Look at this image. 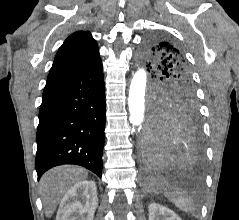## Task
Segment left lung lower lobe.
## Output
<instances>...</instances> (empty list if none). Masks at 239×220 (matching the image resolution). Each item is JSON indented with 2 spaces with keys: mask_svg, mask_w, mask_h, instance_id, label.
<instances>
[{
  "mask_svg": "<svg viewBox=\"0 0 239 220\" xmlns=\"http://www.w3.org/2000/svg\"><path fill=\"white\" fill-rule=\"evenodd\" d=\"M142 153L152 172L166 165L199 162L203 143L197 112L176 113L152 107Z\"/></svg>",
  "mask_w": 239,
  "mask_h": 220,
  "instance_id": "0a47b994",
  "label": "left lung lower lobe"
}]
</instances>
